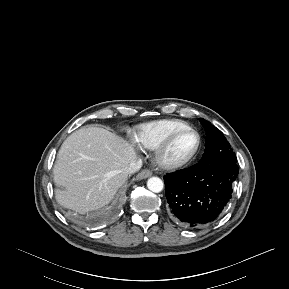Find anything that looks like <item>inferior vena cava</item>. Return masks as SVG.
<instances>
[{"label": "inferior vena cava", "mask_w": 289, "mask_h": 289, "mask_svg": "<svg viewBox=\"0 0 289 289\" xmlns=\"http://www.w3.org/2000/svg\"><path fill=\"white\" fill-rule=\"evenodd\" d=\"M141 165H142L141 159H136L134 162L130 163V165L124 169V173L126 175L133 174L141 168Z\"/></svg>", "instance_id": "1"}]
</instances>
